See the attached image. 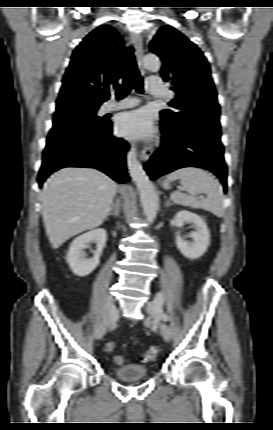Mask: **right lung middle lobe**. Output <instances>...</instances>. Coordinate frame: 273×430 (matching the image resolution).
I'll list each match as a JSON object with an SVG mask.
<instances>
[{
	"instance_id": "right-lung-middle-lobe-1",
	"label": "right lung middle lobe",
	"mask_w": 273,
	"mask_h": 430,
	"mask_svg": "<svg viewBox=\"0 0 273 430\" xmlns=\"http://www.w3.org/2000/svg\"><path fill=\"white\" fill-rule=\"evenodd\" d=\"M98 108L99 105L82 100H71L57 106L46 144L93 135L106 127L109 121L96 116Z\"/></svg>"
}]
</instances>
